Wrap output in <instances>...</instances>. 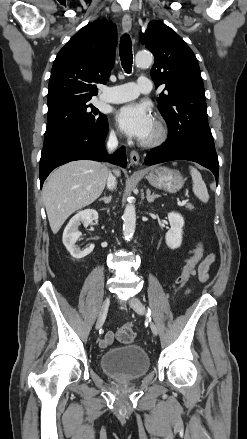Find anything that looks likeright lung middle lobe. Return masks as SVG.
<instances>
[{"instance_id": "right-lung-middle-lobe-1", "label": "right lung middle lobe", "mask_w": 247, "mask_h": 439, "mask_svg": "<svg viewBox=\"0 0 247 439\" xmlns=\"http://www.w3.org/2000/svg\"><path fill=\"white\" fill-rule=\"evenodd\" d=\"M89 101H66L48 109L44 141L66 133L103 127L107 123L106 116Z\"/></svg>"}]
</instances>
